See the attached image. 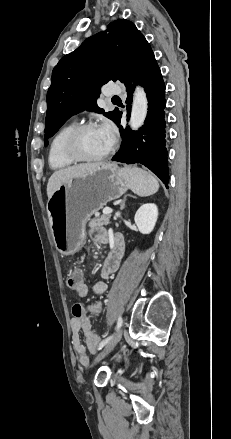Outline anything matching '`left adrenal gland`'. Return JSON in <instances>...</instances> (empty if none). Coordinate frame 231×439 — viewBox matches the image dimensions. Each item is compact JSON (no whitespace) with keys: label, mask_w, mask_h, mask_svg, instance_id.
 <instances>
[{"label":"left adrenal gland","mask_w":231,"mask_h":439,"mask_svg":"<svg viewBox=\"0 0 231 439\" xmlns=\"http://www.w3.org/2000/svg\"><path fill=\"white\" fill-rule=\"evenodd\" d=\"M125 202H126V196L124 197V199L120 205V210H123L125 208Z\"/></svg>","instance_id":"obj_1"}]
</instances>
